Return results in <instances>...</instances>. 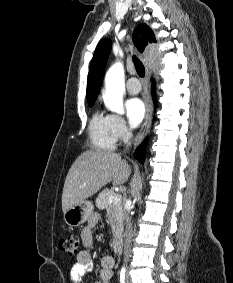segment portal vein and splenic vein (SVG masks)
<instances>
[{"mask_svg": "<svg viewBox=\"0 0 233 283\" xmlns=\"http://www.w3.org/2000/svg\"><path fill=\"white\" fill-rule=\"evenodd\" d=\"M119 200H121V195H118V194L112 195V196L109 197V202L110 203L116 202V201H119Z\"/></svg>", "mask_w": 233, "mask_h": 283, "instance_id": "18ae733b", "label": "portal vein and splenic vein"}]
</instances>
